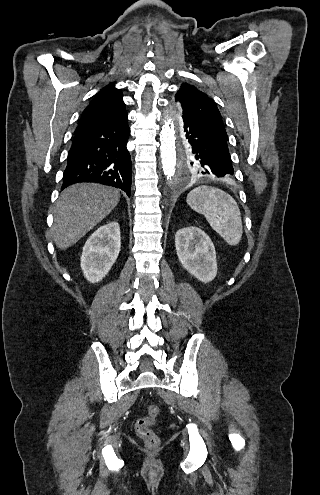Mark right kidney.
<instances>
[{
  "label": "right kidney",
  "mask_w": 320,
  "mask_h": 495,
  "mask_svg": "<svg viewBox=\"0 0 320 495\" xmlns=\"http://www.w3.org/2000/svg\"><path fill=\"white\" fill-rule=\"evenodd\" d=\"M121 247L120 227L110 222L99 227L86 241L81 269L90 283L100 282L115 263Z\"/></svg>",
  "instance_id": "1"
}]
</instances>
